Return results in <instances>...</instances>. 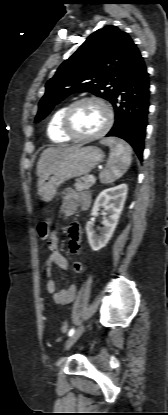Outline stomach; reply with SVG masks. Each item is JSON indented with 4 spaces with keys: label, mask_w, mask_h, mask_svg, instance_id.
<instances>
[{
    "label": "stomach",
    "mask_w": 168,
    "mask_h": 415,
    "mask_svg": "<svg viewBox=\"0 0 168 415\" xmlns=\"http://www.w3.org/2000/svg\"><path fill=\"white\" fill-rule=\"evenodd\" d=\"M104 159V153L95 146H77L54 161L38 179V195L46 202L56 195L58 187L72 178L89 173Z\"/></svg>",
    "instance_id": "obj_1"
}]
</instances>
